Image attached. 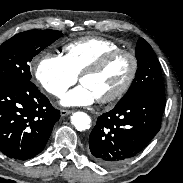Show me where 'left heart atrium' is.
<instances>
[{
    "label": "left heart atrium",
    "instance_id": "39dd6f15",
    "mask_svg": "<svg viewBox=\"0 0 183 183\" xmlns=\"http://www.w3.org/2000/svg\"><path fill=\"white\" fill-rule=\"evenodd\" d=\"M96 100L93 92L87 86L81 84L63 97L62 104L65 106H86Z\"/></svg>",
    "mask_w": 183,
    "mask_h": 183
}]
</instances>
